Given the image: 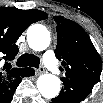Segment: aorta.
<instances>
[{"label":"aorta","mask_w":103,"mask_h":103,"mask_svg":"<svg viewBox=\"0 0 103 103\" xmlns=\"http://www.w3.org/2000/svg\"><path fill=\"white\" fill-rule=\"evenodd\" d=\"M50 41V32L44 25L33 24L28 28L27 42L31 49L43 51ZM37 89L44 98H55L60 92V80L53 74H43L37 79Z\"/></svg>","instance_id":"obj_1"}]
</instances>
